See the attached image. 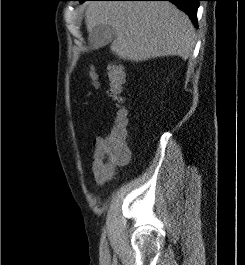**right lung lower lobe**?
I'll return each mask as SVG.
<instances>
[{
	"label": "right lung lower lobe",
	"mask_w": 245,
	"mask_h": 265,
	"mask_svg": "<svg viewBox=\"0 0 245 265\" xmlns=\"http://www.w3.org/2000/svg\"><path fill=\"white\" fill-rule=\"evenodd\" d=\"M123 1H170L187 13L195 26H197V9L201 0H123Z\"/></svg>",
	"instance_id": "right-lung-lower-lobe-1"
}]
</instances>
